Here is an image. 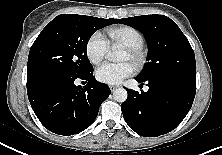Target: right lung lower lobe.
Returning <instances> with one entry per match:
<instances>
[{
  "mask_svg": "<svg viewBox=\"0 0 222 155\" xmlns=\"http://www.w3.org/2000/svg\"><path fill=\"white\" fill-rule=\"evenodd\" d=\"M78 78L86 85H75ZM78 78L28 94L37 118L53 133L70 136L86 129L94 122L101 103L111 93L106 84L96 81L93 70Z\"/></svg>",
  "mask_w": 222,
  "mask_h": 155,
  "instance_id": "obj_1",
  "label": "right lung lower lobe"
}]
</instances>
